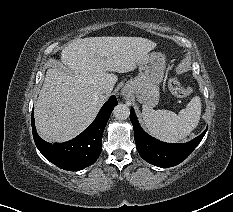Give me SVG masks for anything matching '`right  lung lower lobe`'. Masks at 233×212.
<instances>
[{
	"label": "right lung lower lobe",
	"instance_id": "98d812e1",
	"mask_svg": "<svg viewBox=\"0 0 233 212\" xmlns=\"http://www.w3.org/2000/svg\"><path fill=\"white\" fill-rule=\"evenodd\" d=\"M117 103L116 97L111 96L86 130L70 141L54 144L44 141L36 133L32 110L31 124L37 148L47 160L64 170L78 171L92 165L102 151L103 131Z\"/></svg>",
	"mask_w": 233,
	"mask_h": 212
}]
</instances>
